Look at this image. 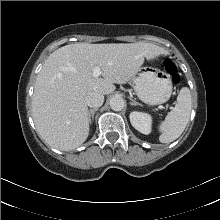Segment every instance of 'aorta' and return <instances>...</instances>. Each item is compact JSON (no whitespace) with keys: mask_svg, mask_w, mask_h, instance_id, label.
Here are the masks:
<instances>
[{"mask_svg":"<svg viewBox=\"0 0 220 220\" xmlns=\"http://www.w3.org/2000/svg\"><path fill=\"white\" fill-rule=\"evenodd\" d=\"M110 108L114 111H121L125 107L123 98L114 96L109 101Z\"/></svg>","mask_w":220,"mask_h":220,"instance_id":"1","label":"aorta"}]
</instances>
